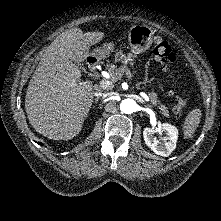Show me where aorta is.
<instances>
[{"label": "aorta", "instance_id": "762f6f07", "mask_svg": "<svg viewBox=\"0 0 221 221\" xmlns=\"http://www.w3.org/2000/svg\"><path fill=\"white\" fill-rule=\"evenodd\" d=\"M137 104L133 99H124L120 103V110L125 114H132L136 111Z\"/></svg>", "mask_w": 221, "mask_h": 221}]
</instances>
